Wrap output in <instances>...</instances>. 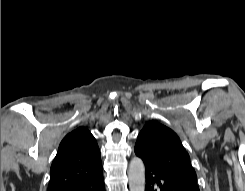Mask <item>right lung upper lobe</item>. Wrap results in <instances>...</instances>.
<instances>
[{
	"label": "right lung upper lobe",
	"instance_id": "obj_1",
	"mask_svg": "<svg viewBox=\"0 0 245 191\" xmlns=\"http://www.w3.org/2000/svg\"><path fill=\"white\" fill-rule=\"evenodd\" d=\"M102 172L100 150L93 135L79 127L65 136L50 168L48 191L67 187Z\"/></svg>",
	"mask_w": 245,
	"mask_h": 191
}]
</instances>
